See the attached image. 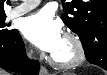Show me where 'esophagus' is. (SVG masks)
Instances as JSON below:
<instances>
[{"label": "esophagus", "instance_id": "1", "mask_svg": "<svg viewBox=\"0 0 107 75\" xmlns=\"http://www.w3.org/2000/svg\"><path fill=\"white\" fill-rule=\"evenodd\" d=\"M40 75H49L48 70L44 66L40 68Z\"/></svg>", "mask_w": 107, "mask_h": 75}]
</instances>
